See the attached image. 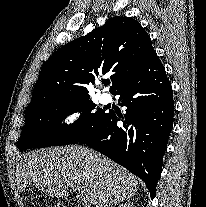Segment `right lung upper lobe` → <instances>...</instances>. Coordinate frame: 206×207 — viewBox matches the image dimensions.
<instances>
[{
	"mask_svg": "<svg viewBox=\"0 0 206 207\" xmlns=\"http://www.w3.org/2000/svg\"><path fill=\"white\" fill-rule=\"evenodd\" d=\"M156 56L150 36L129 17L104 26L58 49L43 65L26 112L40 105L89 97L87 85L110 73L114 92Z\"/></svg>",
	"mask_w": 206,
	"mask_h": 207,
	"instance_id": "cb5924a9",
	"label": "right lung upper lobe"
}]
</instances>
